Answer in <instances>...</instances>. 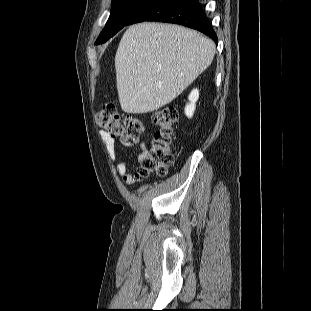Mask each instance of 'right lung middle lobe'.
Segmentation results:
<instances>
[{
    "instance_id": "right-lung-middle-lobe-1",
    "label": "right lung middle lobe",
    "mask_w": 311,
    "mask_h": 311,
    "mask_svg": "<svg viewBox=\"0 0 311 311\" xmlns=\"http://www.w3.org/2000/svg\"><path fill=\"white\" fill-rule=\"evenodd\" d=\"M155 0H112L110 17L95 44L106 42L128 24L140 10Z\"/></svg>"
}]
</instances>
